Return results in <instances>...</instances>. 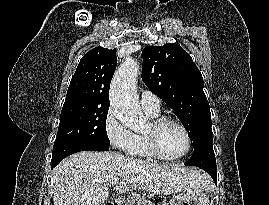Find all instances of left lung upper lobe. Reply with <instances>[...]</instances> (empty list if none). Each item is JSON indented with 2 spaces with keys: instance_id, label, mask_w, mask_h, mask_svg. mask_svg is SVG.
<instances>
[{
  "instance_id": "obj_1",
  "label": "left lung upper lobe",
  "mask_w": 269,
  "mask_h": 205,
  "mask_svg": "<svg viewBox=\"0 0 269 205\" xmlns=\"http://www.w3.org/2000/svg\"><path fill=\"white\" fill-rule=\"evenodd\" d=\"M142 79L179 117L194 150L212 140L211 113L202 75L178 44L148 46L143 52Z\"/></svg>"
}]
</instances>
